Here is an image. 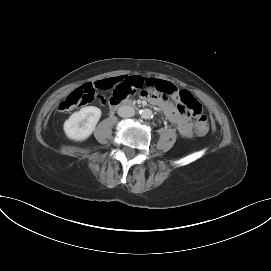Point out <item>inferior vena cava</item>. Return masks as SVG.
<instances>
[{"instance_id":"1","label":"inferior vena cava","mask_w":271,"mask_h":271,"mask_svg":"<svg viewBox=\"0 0 271 271\" xmlns=\"http://www.w3.org/2000/svg\"><path fill=\"white\" fill-rule=\"evenodd\" d=\"M118 115L121 117H132L135 115V110L130 105H122L118 109Z\"/></svg>"}]
</instances>
